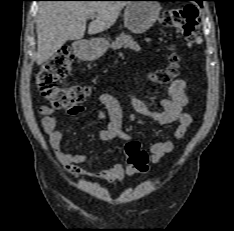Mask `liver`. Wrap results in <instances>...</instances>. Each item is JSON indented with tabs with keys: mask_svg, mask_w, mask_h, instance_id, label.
Instances as JSON below:
<instances>
[{
	"mask_svg": "<svg viewBox=\"0 0 234 231\" xmlns=\"http://www.w3.org/2000/svg\"><path fill=\"white\" fill-rule=\"evenodd\" d=\"M125 1H43L39 3L36 22V63L42 65L68 40L83 38L86 21L91 14L96 19L88 26L94 35L109 29L118 19Z\"/></svg>",
	"mask_w": 234,
	"mask_h": 231,
	"instance_id": "liver-1",
	"label": "liver"
}]
</instances>
